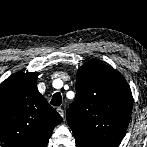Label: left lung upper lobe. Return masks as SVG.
Returning <instances> with one entry per match:
<instances>
[{
	"label": "left lung upper lobe",
	"mask_w": 147,
	"mask_h": 147,
	"mask_svg": "<svg viewBox=\"0 0 147 147\" xmlns=\"http://www.w3.org/2000/svg\"><path fill=\"white\" fill-rule=\"evenodd\" d=\"M76 98L66 112L77 147H116L132 112V93L115 69L91 59L77 72Z\"/></svg>",
	"instance_id": "left-lung-upper-lobe-1"
}]
</instances>
